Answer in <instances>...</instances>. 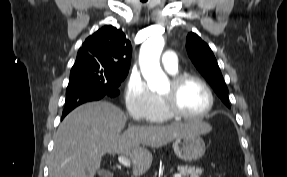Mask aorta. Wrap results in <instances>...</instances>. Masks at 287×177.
<instances>
[{
  "instance_id": "762f6f07",
  "label": "aorta",
  "mask_w": 287,
  "mask_h": 177,
  "mask_svg": "<svg viewBox=\"0 0 287 177\" xmlns=\"http://www.w3.org/2000/svg\"><path fill=\"white\" fill-rule=\"evenodd\" d=\"M164 43L161 35H154L147 39L140 49V69L151 91H159L168 83V78L159 62Z\"/></svg>"
}]
</instances>
